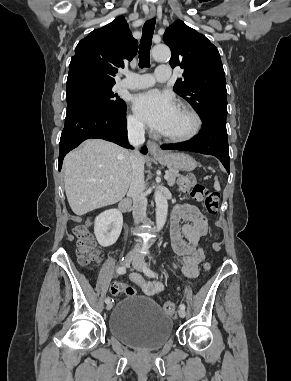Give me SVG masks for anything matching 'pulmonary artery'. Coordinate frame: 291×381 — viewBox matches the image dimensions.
<instances>
[{"mask_svg": "<svg viewBox=\"0 0 291 381\" xmlns=\"http://www.w3.org/2000/svg\"><path fill=\"white\" fill-rule=\"evenodd\" d=\"M171 69L168 65H159L154 74H137L126 72L120 85L127 89L138 90L151 87L155 82H164L170 78Z\"/></svg>", "mask_w": 291, "mask_h": 381, "instance_id": "obj_1", "label": "pulmonary artery"}]
</instances>
